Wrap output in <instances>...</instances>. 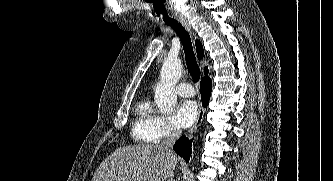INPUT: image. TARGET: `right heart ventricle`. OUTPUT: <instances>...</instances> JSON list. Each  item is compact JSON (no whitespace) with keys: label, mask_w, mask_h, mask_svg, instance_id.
Returning <instances> with one entry per match:
<instances>
[{"label":"right heart ventricle","mask_w":333,"mask_h":181,"mask_svg":"<svg viewBox=\"0 0 333 181\" xmlns=\"http://www.w3.org/2000/svg\"><path fill=\"white\" fill-rule=\"evenodd\" d=\"M135 120L132 126V135L136 141L144 143H156L159 140L155 134V124L158 114L150 100H141L135 108Z\"/></svg>","instance_id":"obj_1"}]
</instances>
